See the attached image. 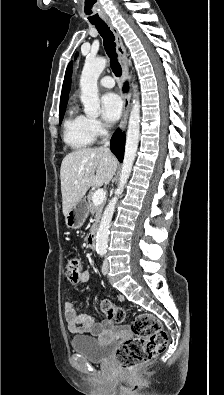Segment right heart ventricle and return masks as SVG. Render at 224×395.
<instances>
[{"mask_svg":"<svg viewBox=\"0 0 224 395\" xmlns=\"http://www.w3.org/2000/svg\"><path fill=\"white\" fill-rule=\"evenodd\" d=\"M64 140L73 149H84L93 144L95 135L89 126V117L72 108L64 122Z\"/></svg>","mask_w":224,"mask_h":395,"instance_id":"1","label":"right heart ventricle"}]
</instances>
